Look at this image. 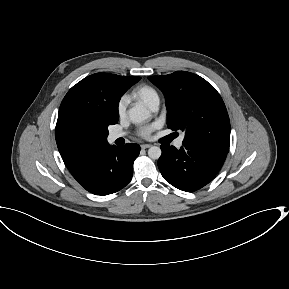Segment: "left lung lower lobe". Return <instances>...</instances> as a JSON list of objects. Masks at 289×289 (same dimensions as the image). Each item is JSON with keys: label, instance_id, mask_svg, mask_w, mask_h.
<instances>
[{"label": "left lung lower lobe", "instance_id": "obj_1", "mask_svg": "<svg viewBox=\"0 0 289 289\" xmlns=\"http://www.w3.org/2000/svg\"><path fill=\"white\" fill-rule=\"evenodd\" d=\"M159 170L172 186L187 192L196 191L208 184L221 169L227 153L183 141L177 150L161 145Z\"/></svg>", "mask_w": 289, "mask_h": 289}]
</instances>
